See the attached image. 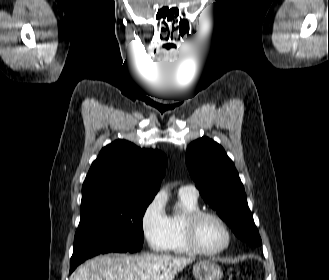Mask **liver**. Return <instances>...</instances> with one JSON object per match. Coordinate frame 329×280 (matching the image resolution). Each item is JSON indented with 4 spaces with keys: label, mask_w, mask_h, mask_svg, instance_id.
Segmentation results:
<instances>
[{
    "label": "liver",
    "mask_w": 329,
    "mask_h": 280,
    "mask_svg": "<svg viewBox=\"0 0 329 280\" xmlns=\"http://www.w3.org/2000/svg\"><path fill=\"white\" fill-rule=\"evenodd\" d=\"M190 257L171 255H103L86 261L71 280H174L193 262Z\"/></svg>",
    "instance_id": "6515ba94"
}]
</instances>
